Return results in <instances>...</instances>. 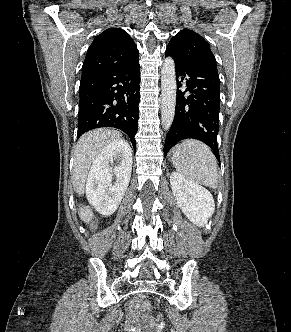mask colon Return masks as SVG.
Here are the masks:
<instances>
[{"label": "colon", "mask_w": 291, "mask_h": 332, "mask_svg": "<svg viewBox=\"0 0 291 332\" xmlns=\"http://www.w3.org/2000/svg\"><path fill=\"white\" fill-rule=\"evenodd\" d=\"M152 305L149 301H142L141 302V308L143 311H149L151 309Z\"/></svg>", "instance_id": "1"}]
</instances>
